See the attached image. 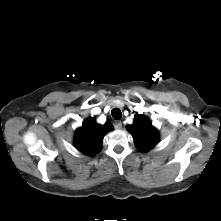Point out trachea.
I'll return each mask as SVG.
<instances>
[{
	"mask_svg": "<svg viewBox=\"0 0 221 221\" xmlns=\"http://www.w3.org/2000/svg\"><path fill=\"white\" fill-rule=\"evenodd\" d=\"M111 115L115 120H118L122 117V113L118 108H114L111 110Z\"/></svg>",
	"mask_w": 221,
	"mask_h": 221,
	"instance_id": "obj_1",
	"label": "trachea"
}]
</instances>
